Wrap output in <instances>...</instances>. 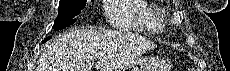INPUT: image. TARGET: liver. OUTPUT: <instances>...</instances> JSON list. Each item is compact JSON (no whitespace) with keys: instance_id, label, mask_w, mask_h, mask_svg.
Masks as SVG:
<instances>
[{"instance_id":"obj_1","label":"liver","mask_w":230,"mask_h":71,"mask_svg":"<svg viewBox=\"0 0 230 71\" xmlns=\"http://www.w3.org/2000/svg\"><path fill=\"white\" fill-rule=\"evenodd\" d=\"M142 36L106 30L75 29L46 45L37 71H121L137 56L154 48ZM102 53L103 56H98Z\"/></svg>"}]
</instances>
